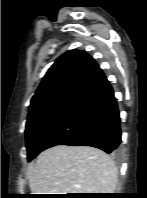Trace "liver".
Listing matches in <instances>:
<instances>
[{
  "instance_id": "obj_1",
  "label": "liver",
  "mask_w": 147,
  "mask_h": 198,
  "mask_svg": "<svg viewBox=\"0 0 147 198\" xmlns=\"http://www.w3.org/2000/svg\"><path fill=\"white\" fill-rule=\"evenodd\" d=\"M27 176L32 194L114 193L118 171L100 149L57 145L29 164Z\"/></svg>"
}]
</instances>
